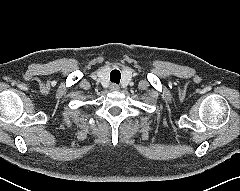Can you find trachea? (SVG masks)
<instances>
[{
    "instance_id": "3493384b",
    "label": "trachea",
    "mask_w": 240,
    "mask_h": 191,
    "mask_svg": "<svg viewBox=\"0 0 240 191\" xmlns=\"http://www.w3.org/2000/svg\"><path fill=\"white\" fill-rule=\"evenodd\" d=\"M121 78V73L118 70H113L110 73L111 82L119 84Z\"/></svg>"
}]
</instances>
